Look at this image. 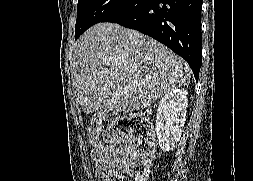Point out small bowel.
Masks as SVG:
<instances>
[{"label":"small bowel","mask_w":253,"mask_h":181,"mask_svg":"<svg viewBox=\"0 0 253 181\" xmlns=\"http://www.w3.org/2000/svg\"><path fill=\"white\" fill-rule=\"evenodd\" d=\"M125 152V148H96L92 151L91 157L94 161L96 175L107 181L108 177L115 173L121 164L120 156Z\"/></svg>","instance_id":"1"}]
</instances>
